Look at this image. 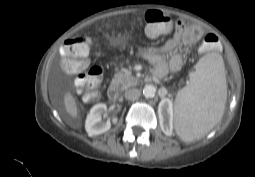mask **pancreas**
<instances>
[{
	"mask_svg": "<svg viewBox=\"0 0 255 177\" xmlns=\"http://www.w3.org/2000/svg\"><path fill=\"white\" fill-rule=\"evenodd\" d=\"M138 82L139 79L132 76L130 73L119 71L114 75L111 81V85L123 91L128 89L129 87L135 86Z\"/></svg>",
	"mask_w": 255,
	"mask_h": 177,
	"instance_id": "cf45deb5",
	"label": "pancreas"
}]
</instances>
